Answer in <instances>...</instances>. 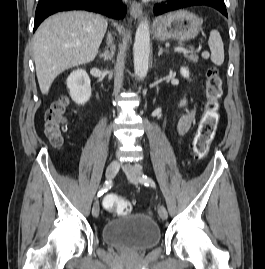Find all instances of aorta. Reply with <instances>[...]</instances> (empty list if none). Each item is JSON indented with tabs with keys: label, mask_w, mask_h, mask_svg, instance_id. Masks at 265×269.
Segmentation results:
<instances>
[{
	"label": "aorta",
	"mask_w": 265,
	"mask_h": 269,
	"mask_svg": "<svg viewBox=\"0 0 265 269\" xmlns=\"http://www.w3.org/2000/svg\"><path fill=\"white\" fill-rule=\"evenodd\" d=\"M150 54V26L147 20L142 21L137 28L133 56L134 72L139 79L146 77L148 73Z\"/></svg>",
	"instance_id": "obj_1"
}]
</instances>
